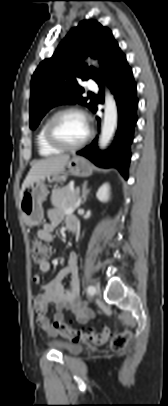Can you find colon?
<instances>
[{
  "mask_svg": "<svg viewBox=\"0 0 168 406\" xmlns=\"http://www.w3.org/2000/svg\"><path fill=\"white\" fill-rule=\"evenodd\" d=\"M31 252L33 263L41 266L48 261L51 254V247L40 240L35 239L31 244ZM54 327L63 337L68 338L73 342H90L95 345H101L109 338V332L107 330L101 333L85 332L62 321L55 322ZM129 338L130 332L127 330L114 335L111 338V349L114 352L123 351L127 346Z\"/></svg>",
  "mask_w": 168,
  "mask_h": 406,
  "instance_id": "colon-1",
  "label": "colon"
}]
</instances>
